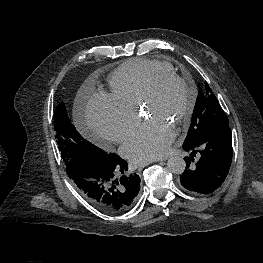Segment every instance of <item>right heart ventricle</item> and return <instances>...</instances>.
<instances>
[{
  "mask_svg": "<svg viewBox=\"0 0 263 263\" xmlns=\"http://www.w3.org/2000/svg\"><path fill=\"white\" fill-rule=\"evenodd\" d=\"M161 73L176 72L174 67L166 62L149 59L128 60L109 77L111 95L119 102L137 110L145 90Z\"/></svg>",
  "mask_w": 263,
  "mask_h": 263,
  "instance_id": "1",
  "label": "right heart ventricle"
}]
</instances>
